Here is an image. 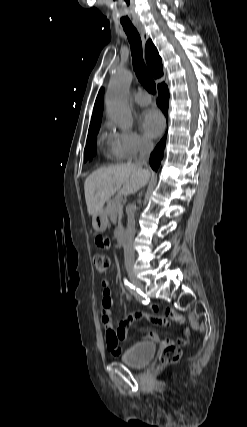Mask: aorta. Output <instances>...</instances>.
I'll return each instance as SVG.
<instances>
[{"label":"aorta","instance_id":"aorta-1","mask_svg":"<svg viewBox=\"0 0 247 427\" xmlns=\"http://www.w3.org/2000/svg\"><path fill=\"white\" fill-rule=\"evenodd\" d=\"M131 82L132 74L129 70L116 69L105 97L107 116L126 129L133 125V117L127 103Z\"/></svg>","mask_w":247,"mask_h":427}]
</instances>
